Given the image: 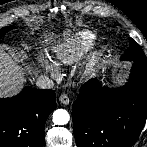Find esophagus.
Listing matches in <instances>:
<instances>
[{
    "label": "esophagus",
    "instance_id": "1",
    "mask_svg": "<svg viewBox=\"0 0 147 147\" xmlns=\"http://www.w3.org/2000/svg\"><path fill=\"white\" fill-rule=\"evenodd\" d=\"M59 101L64 104V105H68L70 103V99L68 97L67 94H62L60 97H59Z\"/></svg>",
    "mask_w": 147,
    "mask_h": 147
}]
</instances>
